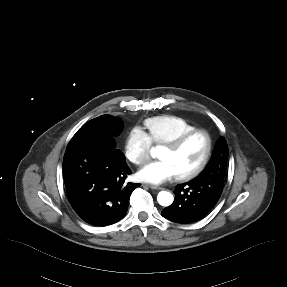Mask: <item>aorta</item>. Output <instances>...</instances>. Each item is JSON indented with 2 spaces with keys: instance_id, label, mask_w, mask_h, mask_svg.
Segmentation results:
<instances>
[{
  "instance_id": "1",
  "label": "aorta",
  "mask_w": 287,
  "mask_h": 287,
  "mask_svg": "<svg viewBox=\"0 0 287 287\" xmlns=\"http://www.w3.org/2000/svg\"><path fill=\"white\" fill-rule=\"evenodd\" d=\"M160 147L151 149V156L156 157ZM174 197L170 192L160 191L157 195V201L161 206L167 207L173 203Z\"/></svg>"
}]
</instances>
